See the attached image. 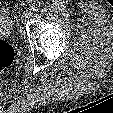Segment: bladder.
I'll return each instance as SVG.
<instances>
[{
    "label": "bladder",
    "mask_w": 113,
    "mask_h": 113,
    "mask_svg": "<svg viewBox=\"0 0 113 113\" xmlns=\"http://www.w3.org/2000/svg\"><path fill=\"white\" fill-rule=\"evenodd\" d=\"M10 29V21L0 14V34H5Z\"/></svg>",
    "instance_id": "bladder-1"
}]
</instances>
